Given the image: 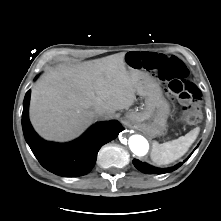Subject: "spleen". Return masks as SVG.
<instances>
[{
  "label": "spleen",
  "mask_w": 221,
  "mask_h": 221,
  "mask_svg": "<svg viewBox=\"0 0 221 221\" xmlns=\"http://www.w3.org/2000/svg\"><path fill=\"white\" fill-rule=\"evenodd\" d=\"M199 131V127H196L185 136L163 144L154 141L152 143L151 160L158 165H166L178 160L189 150Z\"/></svg>",
  "instance_id": "1"
}]
</instances>
